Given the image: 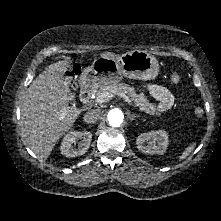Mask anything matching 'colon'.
Returning <instances> with one entry per match:
<instances>
[{"label": "colon", "instance_id": "1", "mask_svg": "<svg viewBox=\"0 0 221 221\" xmlns=\"http://www.w3.org/2000/svg\"><path fill=\"white\" fill-rule=\"evenodd\" d=\"M77 72H78V66H77V65H73V66L71 67V70H70V75H71V76H74V75L77 74ZM171 80H172V82H174V83H179V82H180V76H179L177 73H174V74L171 75ZM194 114H195V116H197V117L203 116V114H204L203 108L200 107V106L195 107V108H194Z\"/></svg>", "mask_w": 221, "mask_h": 221}]
</instances>
